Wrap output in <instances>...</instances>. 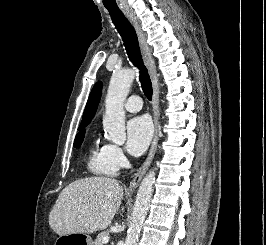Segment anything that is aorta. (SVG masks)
<instances>
[{"instance_id":"1","label":"aorta","mask_w":266,"mask_h":245,"mask_svg":"<svg viewBox=\"0 0 266 245\" xmlns=\"http://www.w3.org/2000/svg\"><path fill=\"white\" fill-rule=\"evenodd\" d=\"M134 78V70L125 68V70L113 72L108 86L105 98L106 110L102 123L105 139L112 141L115 145H124L126 141L124 100L128 96L129 88ZM154 183V171H150L140 183L131 215V223L127 229L125 245H137L138 243L140 231L148 213Z\"/></svg>"}]
</instances>
